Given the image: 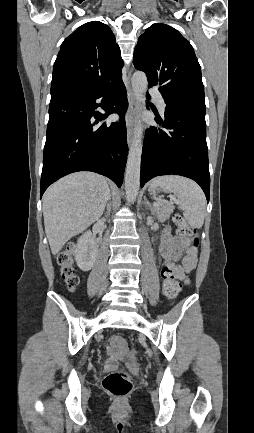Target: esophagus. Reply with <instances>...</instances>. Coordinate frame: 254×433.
Returning <instances> with one entry per match:
<instances>
[{"instance_id":"obj_1","label":"esophagus","mask_w":254,"mask_h":433,"mask_svg":"<svg viewBox=\"0 0 254 433\" xmlns=\"http://www.w3.org/2000/svg\"><path fill=\"white\" fill-rule=\"evenodd\" d=\"M131 72L129 73V77ZM128 109L126 112V128H127V144L128 146L132 143L133 138V126H134V115L136 112V96L129 83L128 85Z\"/></svg>"}]
</instances>
